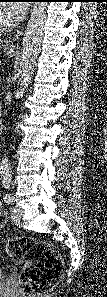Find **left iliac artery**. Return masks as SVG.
<instances>
[{
    "instance_id": "1",
    "label": "left iliac artery",
    "mask_w": 107,
    "mask_h": 297,
    "mask_svg": "<svg viewBox=\"0 0 107 297\" xmlns=\"http://www.w3.org/2000/svg\"><path fill=\"white\" fill-rule=\"evenodd\" d=\"M4 202L7 203V204H13L14 197L11 194H6L4 196Z\"/></svg>"
}]
</instances>
